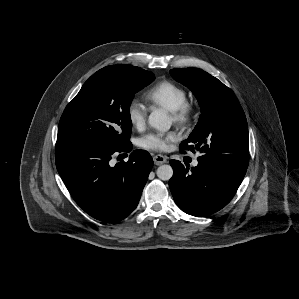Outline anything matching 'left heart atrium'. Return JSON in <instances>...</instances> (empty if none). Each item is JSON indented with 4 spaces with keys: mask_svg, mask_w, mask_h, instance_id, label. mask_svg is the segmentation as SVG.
Wrapping results in <instances>:
<instances>
[{
    "mask_svg": "<svg viewBox=\"0 0 299 299\" xmlns=\"http://www.w3.org/2000/svg\"><path fill=\"white\" fill-rule=\"evenodd\" d=\"M176 138L175 133L150 132L138 139V145L148 150L162 151Z\"/></svg>",
    "mask_w": 299,
    "mask_h": 299,
    "instance_id": "39dd6f15",
    "label": "left heart atrium"
}]
</instances>
